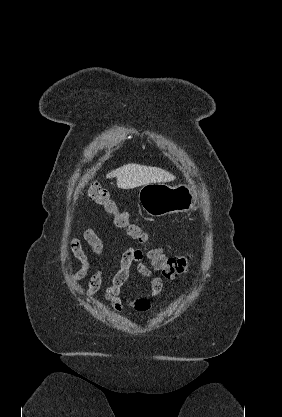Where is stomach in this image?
Masks as SVG:
<instances>
[{
	"label": "stomach",
	"instance_id": "obj_1",
	"mask_svg": "<svg viewBox=\"0 0 282 417\" xmlns=\"http://www.w3.org/2000/svg\"><path fill=\"white\" fill-rule=\"evenodd\" d=\"M139 202L148 215L163 217L171 213L191 211L194 209L196 198L192 188L185 184L169 186L165 182H149L141 186Z\"/></svg>",
	"mask_w": 282,
	"mask_h": 417
}]
</instances>
